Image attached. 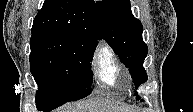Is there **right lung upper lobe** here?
Instances as JSON below:
<instances>
[{
    "mask_svg": "<svg viewBox=\"0 0 193 112\" xmlns=\"http://www.w3.org/2000/svg\"><path fill=\"white\" fill-rule=\"evenodd\" d=\"M32 34L62 33L93 39L101 38L94 0H46L36 15Z\"/></svg>",
    "mask_w": 193,
    "mask_h": 112,
    "instance_id": "cb5924a9",
    "label": "right lung upper lobe"
}]
</instances>
